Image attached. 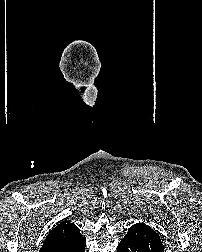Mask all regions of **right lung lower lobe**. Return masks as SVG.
<instances>
[{"label": "right lung lower lobe", "mask_w": 202, "mask_h": 252, "mask_svg": "<svg viewBox=\"0 0 202 252\" xmlns=\"http://www.w3.org/2000/svg\"><path fill=\"white\" fill-rule=\"evenodd\" d=\"M85 246H86V242L83 244L82 248L79 250V252H85Z\"/></svg>", "instance_id": "obj_1"}]
</instances>
